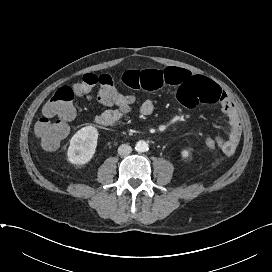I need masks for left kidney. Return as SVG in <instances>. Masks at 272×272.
<instances>
[{
	"label": "left kidney",
	"mask_w": 272,
	"mask_h": 272,
	"mask_svg": "<svg viewBox=\"0 0 272 272\" xmlns=\"http://www.w3.org/2000/svg\"><path fill=\"white\" fill-rule=\"evenodd\" d=\"M181 156H182L183 158H188V157L190 156L189 150H187V149L182 150V151H181Z\"/></svg>",
	"instance_id": "5707ae66"
}]
</instances>
